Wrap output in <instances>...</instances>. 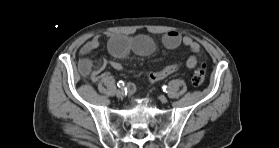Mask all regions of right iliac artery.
Listing matches in <instances>:
<instances>
[{
    "label": "right iliac artery",
    "mask_w": 279,
    "mask_h": 148,
    "mask_svg": "<svg viewBox=\"0 0 279 148\" xmlns=\"http://www.w3.org/2000/svg\"><path fill=\"white\" fill-rule=\"evenodd\" d=\"M117 86H118L119 88H124V87H125V83H124L123 81H119V82L117 83ZM125 90H126V88H125Z\"/></svg>",
    "instance_id": "right-iliac-artery-1"
}]
</instances>
